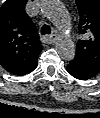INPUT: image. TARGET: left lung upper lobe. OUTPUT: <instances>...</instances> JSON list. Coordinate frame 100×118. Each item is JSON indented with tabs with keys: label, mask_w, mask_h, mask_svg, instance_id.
<instances>
[{
	"label": "left lung upper lobe",
	"mask_w": 100,
	"mask_h": 118,
	"mask_svg": "<svg viewBox=\"0 0 100 118\" xmlns=\"http://www.w3.org/2000/svg\"><path fill=\"white\" fill-rule=\"evenodd\" d=\"M80 22L79 32L86 38L76 47L74 60L100 71V0H75Z\"/></svg>",
	"instance_id": "5c2ea615"
}]
</instances>
